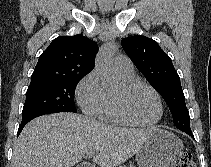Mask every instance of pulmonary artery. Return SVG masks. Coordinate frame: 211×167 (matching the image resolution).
Returning a JSON list of instances; mask_svg holds the SVG:
<instances>
[{
    "label": "pulmonary artery",
    "mask_w": 211,
    "mask_h": 167,
    "mask_svg": "<svg viewBox=\"0 0 211 167\" xmlns=\"http://www.w3.org/2000/svg\"><path fill=\"white\" fill-rule=\"evenodd\" d=\"M114 68L118 73L124 75L133 74V64L126 56H118L114 60Z\"/></svg>",
    "instance_id": "1"
}]
</instances>
